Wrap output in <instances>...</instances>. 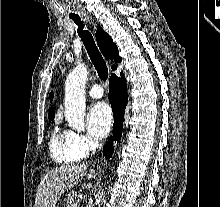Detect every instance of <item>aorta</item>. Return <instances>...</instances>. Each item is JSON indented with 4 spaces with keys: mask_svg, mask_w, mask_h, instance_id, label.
<instances>
[{
    "mask_svg": "<svg viewBox=\"0 0 220 207\" xmlns=\"http://www.w3.org/2000/svg\"><path fill=\"white\" fill-rule=\"evenodd\" d=\"M88 70L83 64H78L68 75L65 82V119L68 125L77 130L82 131L85 128V85L87 82ZM104 192H100L99 202Z\"/></svg>",
    "mask_w": 220,
    "mask_h": 207,
    "instance_id": "1",
    "label": "aorta"
}]
</instances>
